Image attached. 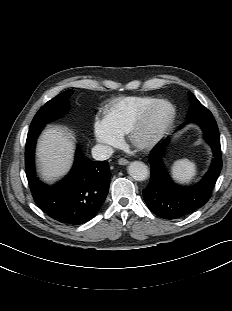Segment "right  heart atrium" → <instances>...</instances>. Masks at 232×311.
Masks as SVG:
<instances>
[{
  "label": "right heart atrium",
  "instance_id": "obj_1",
  "mask_svg": "<svg viewBox=\"0 0 232 311\" xmlns=\"http://www.w3.org/2000/svg\"><path fill=\"white\" fill-rule=\"evenodd\" d=\"M93 135L98 143L107 148L116 147L121 142V137L108 126L104 119H95Z\"/></svg>",
  "mask_w": 232,
  "mask_h": 311
}]
</instances>
